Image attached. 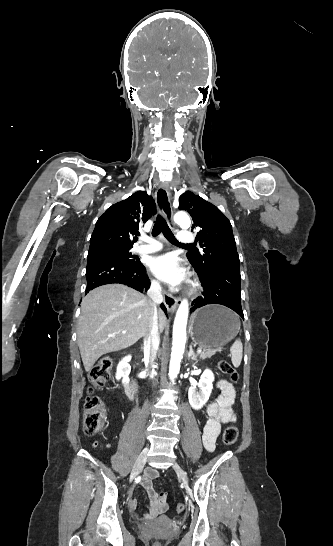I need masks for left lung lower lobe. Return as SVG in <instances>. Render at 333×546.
<instances>
[{"mask_svg":"<svg viewBox=\"0 0 333 546\" xmlns=\"http://www.w3.org/2000/svg\"><path fill=\"white\" fill-rule=\"evenodd\" d=\"M203 286L202 296L192 302L191 312L208 304L229 307L244 318L241 308L240 270L237 267L212 272L208 277L199 276Z\"/></svg>","mask_w":333,"mask_h":546,"instance_id":"1","label":"left lung lower lobe"}]
</instances>
